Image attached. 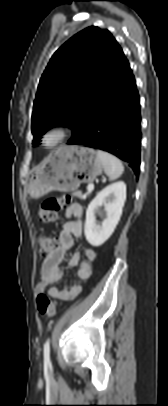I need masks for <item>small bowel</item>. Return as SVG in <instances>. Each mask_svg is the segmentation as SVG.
<instances>
[{"label": "small bowel", "instance_id": "1", "mask_svg": "<svg viewBox=\"0 0 168 406\" xmlns=\"http://www.w3.org/2000/svg\"><path fill=\"white\" fill-rule=\"evenodd\" d=\"M66 217L70 219L66 221L58 237L59 245L44 259L41 266V276L35 286L37 293H43L49 285L57 283L62 277V265L67 258L68 251L72 248L76 240H79L83 233L82 216L83 209L79 204H72L67 207L65 212ZM85 260L81 261V254L74 253L69 259V265L72 267L78 266L77 280L63 288L52 286L48 289L50 297L57 300L69 301L76 298L82 291V282L87 280L92 274L91 263L96 258L94 249L88 248L84 252Z\"/></svg>", "mask_w": 168, "mask_h": 406}]
</instances>
